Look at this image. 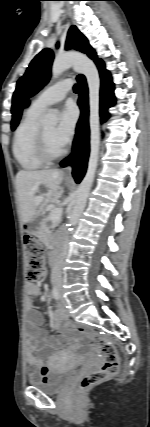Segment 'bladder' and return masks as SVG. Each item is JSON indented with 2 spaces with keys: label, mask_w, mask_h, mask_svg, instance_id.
<instances>
[{
  "label": "bladder",
  "mask_w": 150,
  "mask_h": 427,
  "mask_svg": "<svg viewBox=\"0 0 150 427\" xmlns=\"http://www.w3.org/2000/svg\"><path fill=\"white\" fill-rule=\"evenodd\" d=\"M73 375V369L64 371H51L46 379L30 377L29 383L31 386L39 388L45 393L58 394L66 388Z\"/></svg>",
  "instance_id": "31cf9c89"
}]
</instances>
